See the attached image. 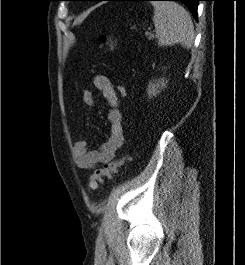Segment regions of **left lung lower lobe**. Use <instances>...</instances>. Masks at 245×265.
Instances as JSON below:
<instances>
[{
    "mask_svg": "<svg viewBox=\"0 0 245 265\" xmlns=\"http://www.w3.org/2000/svg\"><path fill=\"white\" fill-rule=\"evenodd\" d=\"M81 1H132V0H81ZM137 1H153V0H137ZM170 1H180L184 3L190 9L194 17L197 19L198 1L202 0H170Z\"/></svg>",
    "mask_w": 245,
    "mask_h": 265,
    "instance_id": "left-lung-lower-lobe-1",
    "label": "left lung lower lobe"
}]
</instances>
